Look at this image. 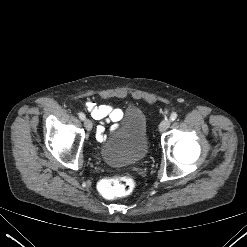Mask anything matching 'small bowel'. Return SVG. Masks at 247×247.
Instances as JSON below:
<instances>
[{
    "instance_id": "1",
    "label": "small bowel",
    "mask_w": 247,
    "mask_h": 247,
    "mask_svg": "<svg viewBox=\"0 0 247 247\" xmlns=\"http://www.w3.org/2000/svg\"><path fill=\"white\" fill-rule=\"evenodd\" d=\"M86 108L90 112L91 116L102 122L101 125L97 127L96 137L100 142L106 139L104 122H119L124 115V112L120 108H116L110 104H97L94 100H88L86 102ZM116 129V125L112 127V131Z\"/></svg>"
}]
</instances>
